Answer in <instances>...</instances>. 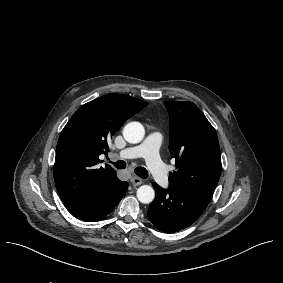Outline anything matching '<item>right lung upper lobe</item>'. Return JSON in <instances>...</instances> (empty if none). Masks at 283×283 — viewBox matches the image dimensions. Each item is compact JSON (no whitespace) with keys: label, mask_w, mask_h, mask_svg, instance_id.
Masks as SVG:
<instances>
[{"label":"right lung upper lobe","mask_w":283,"mask_h":283,"mask_svg":"<svg viewBox=\"0 0 283 283\" xmlns=\"http://www.w3.org/2000/svg\"><path fill=\"white\" fill-rule=\"evenodd\" d=\"M145 101L106 94L81 106L62 130L54 164L56 189L67 209L94 202L119 179L110 165L95 169L108 152L107 139L146 106Z\"/></svg>","instance_id":"obj_1"}]
</instances>
